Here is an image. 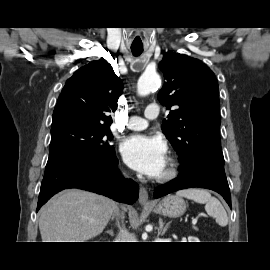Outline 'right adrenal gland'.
I'll return each mask as SVG.
<instances>
[{
    "instance_id": "2a0ac1e0",
    "label": "right adrenal gland",
    "mask_w": 270,
    "mask_h": 270,
    "mask_svg": "<svg viewBox=\"0 0 270 270\" xmlns=\"http://www.w3.org/2000/svg\"><path fill=\"white\" fill-rule=\"evenodd\" d=\"M116 225L118 227L120 226V223H119V220L118 219L116 220ZM106 233H108L110 236H114L113 230H108V231H106Z\"/></svg>"
}]
</instances>
